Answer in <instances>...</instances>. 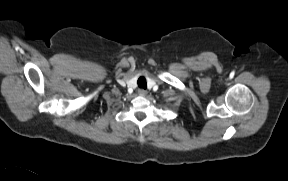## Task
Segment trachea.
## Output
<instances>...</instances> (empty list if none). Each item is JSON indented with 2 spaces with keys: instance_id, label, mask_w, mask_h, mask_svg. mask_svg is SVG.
<instances>
[{
  "instance_id": "obj_1",
  "label": "trachea",
  "mask_w": 288,
  "mask_h": 181,
  "mask_svg": "<svg viewBox=\"0 0 288 181\" xmlns=\"http://www.w3.org/2000/svg\"><path fill=\"white\" fill-rule=\"evenodd\" d=\"M137 83H138L139 88L146 89L147 83H146L145 77L141 76V77L138 79Z\"/></svg>"
}]
</instances>
